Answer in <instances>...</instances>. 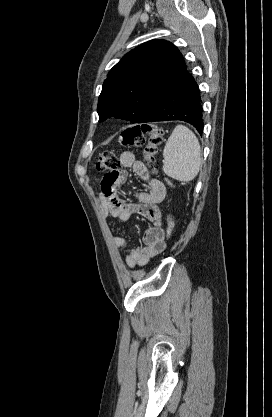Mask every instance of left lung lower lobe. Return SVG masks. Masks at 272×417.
I'll return each mask as SVG.
<instances>
[{
	"label": "left lung lower lobe",
	"mask_w": 272,
	"mask_h": 417,
	"mask_svg": "<svg viewBox=\"0 0 272 417\" xmlns=\"http://www.w3.org/2000/svg\"><path fill=\"white\" fill-rule=\"evenodd\" d=\"M167 120L190 123L202 135L204 122L200 90L187 69L141 123Z\"/></svg>",
	"instance_id": "0a47b994"
}]
</instances>
